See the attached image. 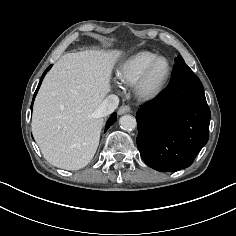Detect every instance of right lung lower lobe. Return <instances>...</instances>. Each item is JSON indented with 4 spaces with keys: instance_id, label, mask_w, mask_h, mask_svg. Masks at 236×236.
<instances>
[{
    "instance_id": "1",
    "label": "right lung lower lobe",
    "mask_w": 236,
    "mask_h": 236,
    "mask_svg": "<svg viewBox=\"0 0 236 236\" xmlns=\"http://www.w3.org/2000/svg\"><path fill=\"white\" fill-rule=\"evenodd\" d=\"M51 66H52V65H50V66L45 70V72L43 73L42 78H41V81H40V83H39V85H38V87H37V90H36L35 94H34V98H35V95H36V93H37V91H38L40 85H41V82H42V80H43L45 74H46L47 71L51 68ZM34 98H33V100H34ZM32 105H33V102H32ZM116 119H117L116 113L114 112V113L111 115V117L109 118V120H108V122H107V124H106L105 131H106L111 125H113V124L115 123Z\"/></svg>"
}]
</instances>
